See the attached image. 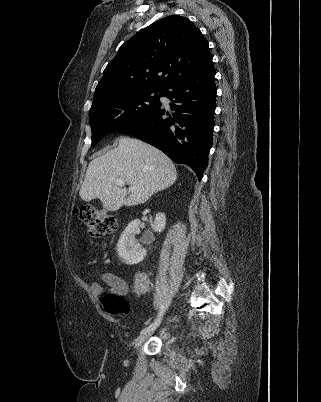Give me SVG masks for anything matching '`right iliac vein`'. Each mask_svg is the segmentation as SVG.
I'll list each match as a JSON object with an SVG mask.
<instances>
[{
  "label": "right iliac vein",
  "mask_w": 321,
  "mask_h": 402,
  "mask_svg": "<svg viewBox=\"0 0 321 402\" xmlns=\"http://www.w3.org/2000/svg\"><path fill=\"white\" fill-rule=\"evenodd\" d=\"M150 335V332L142 333L141 335H139L135 340V348L138 349L143 344V342H145L149 338Z\"/></svg>",
  "instance_id": "1"
}]
</instances>
